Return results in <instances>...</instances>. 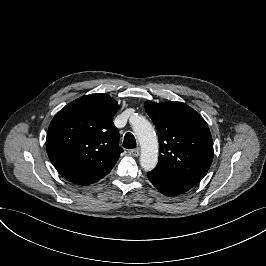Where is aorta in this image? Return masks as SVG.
I'll return each instance as SVG.
<instances>
[{"instance_id":"aorta-1","label":"aorta","mask_w":266,"mask_h":266,"mask_svg":"<svg viewBox=\"0 0 266 266\" xmlns=\"http://www.w3.org/2000/svg\"><path fill=\"white\" fill-rule=\"evenodd\" d=\"M132 129L141 145L140 165L145 171L153 170L158 163V141L151 123L139 116L132 123Z\"/></svg>"}]
</instances>
